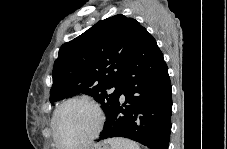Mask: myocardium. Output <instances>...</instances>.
<instances>
[{"label": "myocardium", "instance_id": "f54148a6", "mask_svg": "<svg viewBox=\"0 0 227 149\" xmlns=\"http://www.w3.org/2000/svg\"><path fill=\"white\" fill-rule=\"evenodd\" d=\"M73 103H80V104H84V105L90 107L96 115V124H95L92 132L82 141H79L76 143H71V144H62L59 141L58 134H57V125H56L57 117H58L60 111L64 107H66L70 104H73ZM104 120H105V117H104L102 109L94 101H92L88 98H84V97H73V98L67 99L64 102H62L55 109L53 116H52L51 127H52V136H53L54 143L56 144V146H63V147H70V148L87 146L99 136V134L103 128V125H104Z\"/></svg>", "mask_w": 227, "mask_h": 149}]
</instances>
